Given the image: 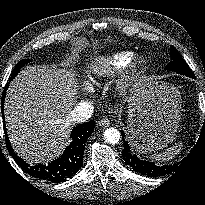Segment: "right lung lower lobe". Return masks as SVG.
Listing matches in <instances>:
<instances>
[{
	"mask_svg": "<svg viewBox=\"0 0 205 205\" xmlns=\"http://www.w3.org/2000/svg\"><path fill=\"white\" fill-rule=\"evenodd\" d=\"M8 86L9 82H7L2 94V117L3 128L6 136L5 141L9 153L11 154L15 162L18 164V166H20L24 171H26L29 175L35 178L47 180L52 183H60L66 181V179L76 174L83 164L85 143L94 131V122L89 121L75 127L72 130V141L70 145L66 147L61 157L50 162L48 165L38 164L35 166H30L28 163H26L24 160H22L16 155L7 136L3 112V103Z\"/></svg>",
	"mask_w": 205,
	"mask_h": 205,
	"instance_id": "right-lung-lower-lobe-1",
	"label": "right lung lower lobe"
}]
</instances>
